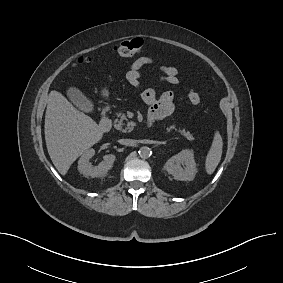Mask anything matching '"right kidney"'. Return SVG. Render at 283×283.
Wrapping results in <instances>:
<instances>
[{"instance_id":"ca27d5eb","label":"right kidney","mask_w":283,"mask_h":283,"mask_svg":"<svg viewBox=\"0 0 283 283\" xmlns=\"http://www.w3.org/2000/svg\"><path fill=\"white\" fill-rule=\"evenodd\" d=\"M94 154V149L86 150L78 161V170L86 177H104L112 168L115 161V156L113 154L105 155L103 157V162H101L98 166H93L89 161L94 156Z\"/></svg>"}]
</instances>
